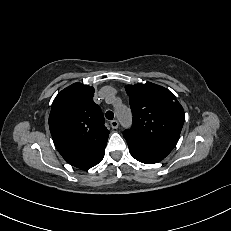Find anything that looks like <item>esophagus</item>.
Listing matches in <instances>:
<instances>
[{
	"instance_id": "obj_1",
	"label": "esophagus",
	"mask_w": 231,
	"mask_h": 231,
	"mask_svg": "<svg viewBox=\"0 0 231 231\" xmlns=\"http://www.w3.org/2000/svg\"><path fill=\"white\" fill-rule=\"evenodd\" d=\"M110 125H111V127H112L113 129H117L118 126H119V123H118L117 120H112V121L110 122Z\"/></svg>"
}]
</instances>
